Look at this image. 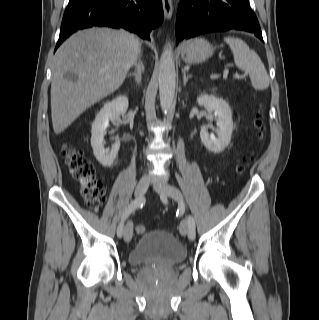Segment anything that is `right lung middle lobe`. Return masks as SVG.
<instances>
[{"label":"right lung middle lobe","instance_id":"1","mask_svg":"<svg viewBox=\"0 0 319 320\" xmlns=\"http://www.w3.org/2000/svg\"><path fill=\"white\" fill-rule=\"evenodd\" d=\"M75 1H76V0H70L69 3H73V2H75Z\"/></svg>","mask_w":319,"mask_h":320}]
</instances>
